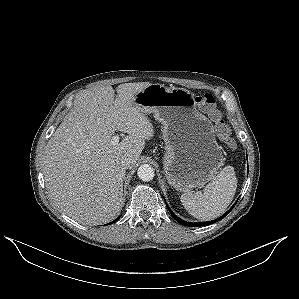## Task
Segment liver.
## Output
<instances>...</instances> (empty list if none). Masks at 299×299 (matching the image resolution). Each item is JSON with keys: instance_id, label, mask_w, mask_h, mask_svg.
<instances>
[{"instance_id": "6515ba94", "label": "liver", "mask_w": 299, "mask_h": 299, "mask_svg": "<svg viewBox=\"0 0 299 299\" xmlns=\"http://www.w3.org/2000/svg\"><path fill=\"white\" fill-rule=\"evenodd\" d=\"M149 82L95 87L78 94L74 106L46 145L43 175L56 206L75 221L107 223L123 208L124 157L138 161L153 126L135 105L134 95ZM115 131L127 133L111 144Z\"/></svg>"}]
</instances>
